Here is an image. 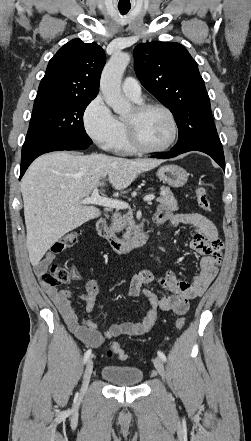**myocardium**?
I'll list each match as a JSON object with an SVG mask.
<instances>
[{
    "instance_id": "myocardium-1",
    "label": "myocardium",
    "mask_w": 251,
    "mask_h": 441,
    "mask_svg": "<svg viewBox=\"0 0 251 441\" xmlns=\"http://www.w3.org/2000/svg\"><path fill=\"white\" fill-rule=\"evenodd\" d=\"M151 109L162 110L169 117L171 125H172V136H171L170 140L163 146L150 147L142 141V139L139 135L138 129H137L136 122L134 120L125 119L124 123L126 126L127 135H128L129 141L132 144V146L140 152H144V153L164 152V151L168 150L169 148H171L177 140L178 133H179L178 123H177V120H176L174 113L167 106H165L161 103L140 102L134 107L136 116H141L142 114H144L145 112H147L148 110H151Z\"/></svg>"
}]
</instances>
